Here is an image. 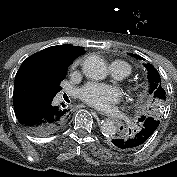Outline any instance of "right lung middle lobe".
I'll return each mask as SVG.
<instances>
[{
  "mask_svg": "<svg viewBox=\"0 0 177 177\" xmlns=\"http://www.w3.org/2000/svg\"><path fill=\"white\" fill-rule=\"evenodd\" d=\"M66 73L54 79H39L30 77L25 79L20 86L35 91L39 94L55 96L60 91V82L65 78Z\"/></svg>",
  "mask_w": 177,
  "mask_h": 177,
  "instance_id": "1",
  "label": "right lung middle lobe"
}]
</instances>
